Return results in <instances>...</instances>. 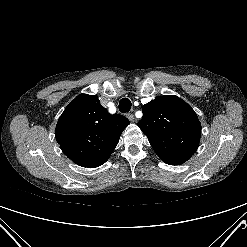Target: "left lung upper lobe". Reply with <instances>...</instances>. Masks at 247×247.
Here are the masks:
<instances>
[{"mask_svg": "<svg viewBox=\"0 0 247 247\" xmlns=\"http://www.w3.org/2000/svg\"><path fill=\"white\" fill-rule=\"evenodd\" d=\"M139 128L167 164L180 165L197 150L201 124L194 110L173 95L158 96L142 108Z\"/></svg>", "mask_w": 247, "mask_h": 247, "instance_id": "5c2ea615", "label": "left lung upper lobe"}]
</instances>
